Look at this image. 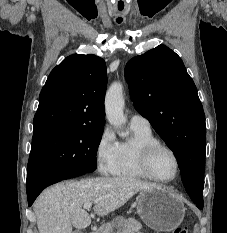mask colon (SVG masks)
Instances as JSON below:
<instances>
[{"label":"colon","mask_w":227,"mask_h":233,"mask_svg":"<svg viewBox=\"0 0 227 233\" xmlns=\"http://www.w3.org/2000/svg\"><path fill=\"white\" fill-rule=\"evenodd\" d=\"M172 233H188V230L186 227L181 226L176 228Z\"/></svg>","instance_id":"5ec220e1"}]
</instances>
